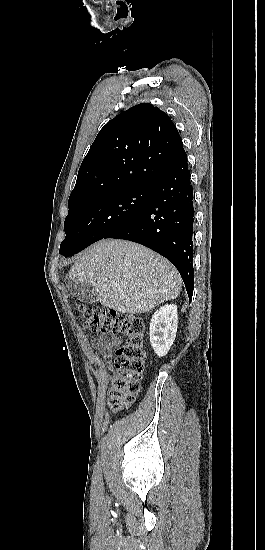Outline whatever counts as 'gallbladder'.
I'll list each match as a JSON object with an SVG mask.
<instances>
[{
    "label": "gallbladder",
    "mask_w": 265,
    "mask_h": 550,
    "mask_svg": "<svg viewBox=\"0 0 265 550\" xmlns=\"http://www.w3.org/2000/svg\"><path fill=\"white\" fill-rule=\"evenodd\" d=\"M67 286L72 295L83 303L90 304L98 301L96 291L87 283H77L69 279L67 281Z\"/></svg>",
    "instance_id": "bac80fb5"
}]
</instances>
